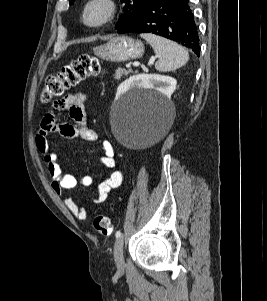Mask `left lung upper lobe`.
I'll list each match as a JSON object with an SVG mask.
<instances>
[{
	"label": "left lung upper lobe",
	"mask_w": 267,
	"mask_h": 301,
	"mask_svg": "<svg viewBox=\"0 0 267 301\" xmlns=\"http://www.w3.org/2000/svg\"><path fill=\"white\" fill-rule=\"evenodd\" d=\"M74 0H69L72 3ZM149 0H121L124 4L123 14L120 16L119 21L116 25V29L131 22L140 12L142 7Z\"/></svg>",
	"instance_id": "obj_1"
}]
</instances>
